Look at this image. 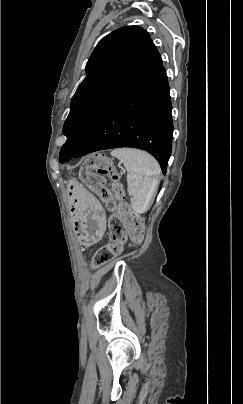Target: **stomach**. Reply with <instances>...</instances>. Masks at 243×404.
I'll list each match as a JSON object with an SVG mask.
<instances>
[{
  "mask_svg": "<svg viewBox=\"0 0 243 404\" xmlns=\"http://www.w3.org/2000/svg\"><path fill=\"white\" fill-rule=\"evenodd\" d=\"M67 189L78 239L85 246L92 245L99 241L105 232V212L99 201L79 182L69 180Z\"/></svg>",
  "mask_w": 243,
  "mask_h": 404,
  "instance_id": "1",
  "label": "stomach"
}]
</instances>
